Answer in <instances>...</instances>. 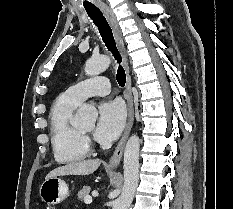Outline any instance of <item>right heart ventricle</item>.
I'll return each mask as SVG.
<instances>
[{
  "mask_svg": "<svg viewBox=\"0 0 233 209\" xmlns=\"http://www.w3.org/2000/svg\"><path fill=\"white\" fill-rule=\"evenodd\" d=\"M80 103L67 92L53 103L50 111V137L54 158L59 163H73L88 156V147L72 116Z\"/></svg>",
  "mask_w": 233,
  "mask_h": 209,
  "instance_id": "e07e8e85",
  "label": "right heart ventricle"
}]
</instances>
